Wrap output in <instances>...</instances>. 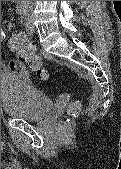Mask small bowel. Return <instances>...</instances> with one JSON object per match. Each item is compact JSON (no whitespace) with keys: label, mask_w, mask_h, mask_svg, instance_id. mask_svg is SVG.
Returning <instances> with one entry per match:
<instances>
[{"label":"small bowel","mask_w":121,"mask_h":169,"mask_svg":"<svg viewBox=\"0 0 121 169\" xmlns=\"http://www.w3.org/2000/svg\"><path fill=\"white\" fill-rule=\"evenodd\" d=\"M1 69L3 71H9V72L20 74L22 76H27V70L25 64L21 63L18 60L3 62L1 64Z\"/></svg>","instance_id":"1"}]
</instances>
